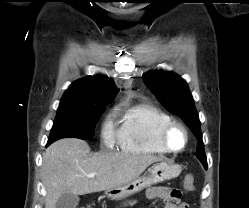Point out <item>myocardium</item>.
Returning <instances> with one entry per match:
<instances>
[{"instance_id": "obj_1", "label": "myocardium", "mask_w": 249, "mask_h": 208, "mask_svg": "<svg viewBox=\"0 0 249 208\" xmlns=\"http://www.w3.org/2000/svg\"><path fill=\"white\" fill-rule=\"evenodd\" d=\"M179 128L182 130L185 136V142L182 147L180 148H174L172 147L168 142V136L171 133L172 130ZM158 142L159 144L167 151V152H181L186 149L188 143H189V132L186 126L179 122V121H170L169 123L165 124L158 133Z\"/></svg>"}]
</instances>
